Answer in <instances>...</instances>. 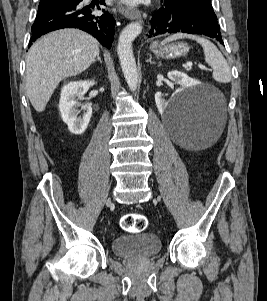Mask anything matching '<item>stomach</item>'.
<instances>
[{
  "label": "stomach",
  "instance_id": "1",
  "mask_svg": "<svg viewBox=\"0 0 267 301\" xmlns=\"http://www.w3.org/2000/svg\"><path fill=\"white\" fill-rule=\"evenodd\" d=\"M150 49L155 55L166 59L185 56L189 51L188 45L182 42L165 43L161 45L154 43L151 45Z\"/></svg>",
  "mask_w": 267,
  "mask_h": 301
}]
</instances>
